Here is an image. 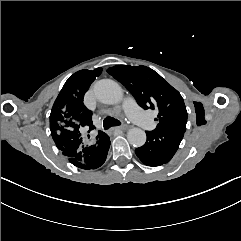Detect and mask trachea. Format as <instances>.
Returning a JSON list of instances; mask_svg holds the SVG:
<instances>
[{
	"label": "trachea",
	"mask_w": 241,
	"mask_h": 241,
	"mask_svg": "<svg viewBox=\"0 0 241 241\" xmlns=\"http://www.w3.org/2000/svg\"><path fill=\"white\" fill-rule=\"evenodd\" d=\"M118 125H120V121H118L117 119H115L113 117L107 116L103 120V126H104V129H106V130L113 126H118Z\"/></svg>",
	"instance_id": "3493384b"
}]
</instances>
